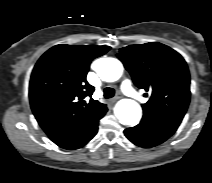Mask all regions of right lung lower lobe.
I'll return each instance as SVG.
<instances>
[{"label": "right lung lower lobe", "mask_w": 212, "mask_h": 183, "mask_svg": "<svg viewBox=\"0 0 212 183\" xmlns=\"http://www.w3.org/2000/svg\"><path fill=\"white\" fill-rule=\"evenodd\" d=\"M98 122L99 120L95 122L92 126L86 128L83 132L79 133L78 135L60 141H56L54 143L67 150L78 149L84 146L96 135L98 130Z\"/></svg>", "instance_id": "1"}]
</instances>
